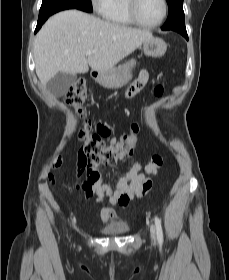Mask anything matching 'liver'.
I'll list each match as a JSON object with an SVG mask.
<instances>
[{
  "mask_svg": "<svg viewBox=\"0 0 229 280\" xmlns=\"http://www.w3.org/2000/svg\"><path fill=\"white\" fill-rule=\"evenodd\" d=\"M153 35L101 20L78 10L50 17L35 38L36 74L43 87L58 73L109 71ZM96 50L87 56L89 50Z\"/></svg>",
  "mask_w": 229,
  "mask_h": 280,
  "instance_id": "liver-1",
  "label": "liver"
}]
</instances>
